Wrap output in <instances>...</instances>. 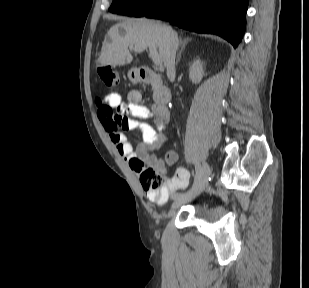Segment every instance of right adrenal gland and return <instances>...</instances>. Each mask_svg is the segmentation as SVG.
I'll return each instance as SVG.
<instances>
[{
  "label": "right adrenal gland",
  "mask_w": 309,
  "mask_h": 288,
  "mask_svg": "<svg viewBox=\"0 0 309 288\" xmlns=\"http://www.w3.org/2000/svg\"><path fill=\"white\" fill-rule=\"evenodd\" d=\"M190 41H191V38H185L183 40L182 39L180 40V47H181V49H180V51L178 53L176 65H178V63L180 61V58H181V54L184 51V49H185L186 45L188 44V42H190Z\"/></svg>",
  "instance_id": "right-adrenal-gland-1"
}]
</instances>
